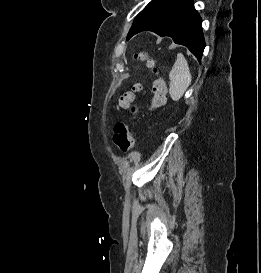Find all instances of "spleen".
Returning <instances> with one entry per match:
<instances>
[{"label":"spleen","mask_w":261,"mask_h":273,"mask_svg":"<svg viewBox=\"0 0 261 273\" xmlns=\"http://www.w3.org/2000/svg\"><path fill=\"white\" fill-rule=\"evenodd\" d=\"M169 80V94L172 100L179 101L192 80L188 62L182 53L177 54V59L169 73Z\"/></svg>","instance_id":"3e777b00"}]
</instances>
